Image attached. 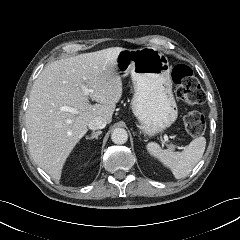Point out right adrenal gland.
I'll return each mask as SVG.
<instances>
[{
  "instance_id": "right-adrenal-gland-1",
  "label": "right adrenal gland",
  "mask_w": 240,
  "mask_h": 240,
  "mask_svg": "<svg viewBox=\"0 0 240 240\" xmlns=\"http://www.w3.org/2000/svg\"><path fill=\"white\" fill-rule=\"evenodd\" d=\"M102 133V131H97V132H93L92 135L90 137H86L87 140H91V139H98V136Z\"/></svg>"
}]
</instances>
